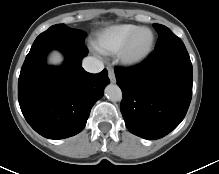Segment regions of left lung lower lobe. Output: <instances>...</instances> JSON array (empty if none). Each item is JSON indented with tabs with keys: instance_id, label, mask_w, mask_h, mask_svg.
<instances>
[{
	"instance_id": "left-lung-lower-lobe-1",
	"label": "left lung lower lobe",
	"mask_w": 219,
	"mask_h": 174,
	"mask_svg": "<svg viewBox=\"0 0 219 174\" xmlns=\"http://www.w3.org/2000/svg\"><path fill=\"white\" fill-rule=\"evenodd\" d=\"M120 105L129 131L159 139L184 119L192 97V64L186 47H166L131 68H115Z\"/></svg>"
}]
</instances>
